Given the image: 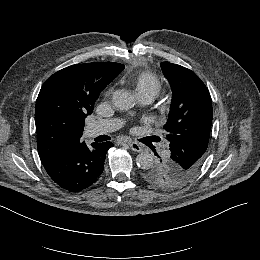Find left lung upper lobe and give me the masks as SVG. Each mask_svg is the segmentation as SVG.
I'll use <instances>...</instances> for the list:
<instances>
[{
  "label": "left lung upper lobe",
  "instance_id": "5c2ea615",
  "mask_svg": "<svg viewBox=\"0 0 260 260\" xmlns=\"http://www.w3.org/2000/svg\"><path fill=\"white\" fill-rule=\"evenodd\" d=\"M172 88V101L164 129L171 155L143 171L144 179L160 188L177 187L202 166L212 124V101L208 89L191 70L161 63Z\"/></svg>",
  "mask_w": 260,
  "mask_h": 260
}]
</instances>
